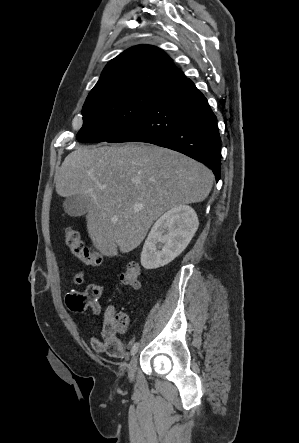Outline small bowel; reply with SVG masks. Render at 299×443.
<instances>
[{"instance_id":"c3829d8e","label":"small bowel","mask_w":299,"mask_h":443,"mask_svg":"<svg viewBox=\"0 0 299 443\" xmlns=\"http://www.w3.org/2000/svg\"><path fill=\"white\" fill-rule=\"evenodd\" d=\"M85 271L81 270L72 278V283L81 285L84 282ZM104 287L101 283H91L86 286L84 291H71L66 296L67 307L74 312H83L91 309L94 314L101 313L100 299ZM115 315V309L108 306L104 311L103 327L101 336L93 335L90 339V345L93 351L97 353H106L113 358L125 356L123 343L117 334L109 331L107 324Z\"/></svg>"}]
</instances>
